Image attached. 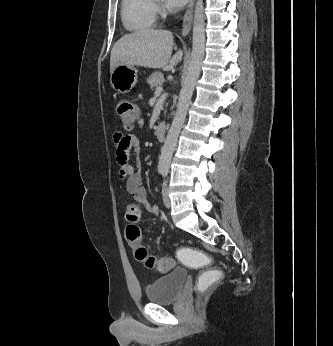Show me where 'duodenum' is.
I'll list each match as a JSON object with an SVG mask.
<instances>
[{
  "label": "duodenum",
  "mask_w": 333,
  "mask_h": 346,
  "mask_svg": "<svg viewBox=\"0 0 333 346\" xmlns=\"http://www.w3.org/2000/svg\"><path fill=\"white\" fill-rule=\"evenodd\" d=\"M166 129L167 127L165 123L161 122L157 124L155 133L158 140H163L165 138Z\"/></svg>",
  "instance_id": "obj_1"
}]
</instances>
